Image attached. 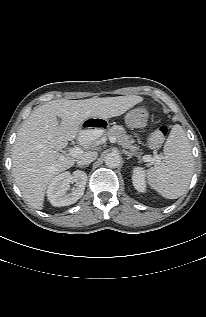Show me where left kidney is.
<instances>
[{"label":"left kidney","instance_id":"1","mask_svg":"<svg viewBox=\"0 0 206 317\" xmlns=\"http://www.w3.org/2000/svg\"><path fill=\"white\" fill-rule=\"evenodd\" d=\"M132 182L138 192L143 193L146 191L145 172L141 167L133 169Z\"/></svg>","mask_w":206,"mask_h":317}]
</instances>
